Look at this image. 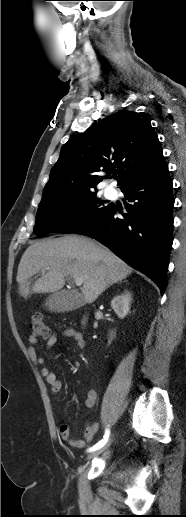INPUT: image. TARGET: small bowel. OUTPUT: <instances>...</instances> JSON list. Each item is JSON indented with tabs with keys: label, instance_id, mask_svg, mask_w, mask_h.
Here are the masks:
<instances>
[{
	"label": "small bowel",
	"instance_id": "obj_1",
	"mask_svg": "<svg viewBox=\"0 0 186 517\" xmlns=\"http://www.w3.org/2000/svg\"><path fill=\"white\" fill-rule=\"evenodd\" d=\"M61 335L65 338L71 339L74 344L82 349L85 346V341L83 338V335L72 329V328H65L62 330ZM58 339V334L56 332H52L47 340V347L51 348L55 345ZM30 346L28 347V354L31 358H33L37 363L42 364L44 363V359L42 357L37 356L35 344L37 343V339L30 335L29 338ZM42 374L45 377L46 381L51 387V391L53 393H58L63 386L62 380L57 376V374L49 367H44L42 369ZM97 399V392L95 389H89L85 398V406L88 408H92ZM99 425L97 422L89 421L86 423L85 430L83 433L82 439H73L71 437V431L68 424H62L59 429L60 437L68 442L71 446L76 448H82L87 443L91 442L98 431Z\"/></svg>",
	"mask_w": 186,
	"mask_h": 517
}]
</instances>
